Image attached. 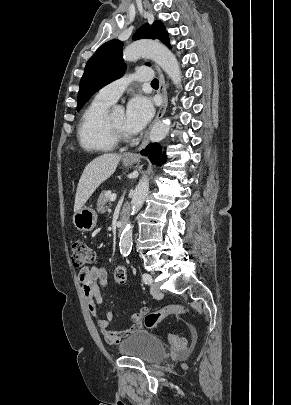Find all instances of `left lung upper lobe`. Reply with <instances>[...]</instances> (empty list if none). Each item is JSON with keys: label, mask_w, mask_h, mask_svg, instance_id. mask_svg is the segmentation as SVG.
<instances>
[{"label": "left lung upper lobe", "mask_w": 291, "mask_h": 405, "mask_svg": "<svg viewBox=\"0 0 291 405\" xmlns=\"http://www.w3.org/2000/svg\"><path fill=\"white\" fill-rule=\"evenodd\" d=\"M143 38L159 39L170 47L168 33L159 20L152 25H143L133 36L134 40ZM122 46L123 42L120 40L108 41L89 59L80 81L77 111L96 91L123 75L126 67L122 59Z\"/></svg>", "instance_id": "left-lung-upper-lobe-1"}]
</instances>
